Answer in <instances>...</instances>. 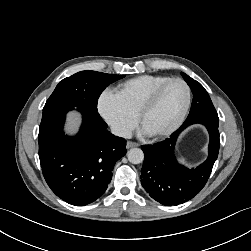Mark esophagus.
I'll return each instance as SVG.
<instances>
[{
    "instance_id": "1",
    "label": "esophagus",
    "mask_w": 251,
    "mask_h": 251,
    "mask_svg": "<svg viewBox=\"0 0 251 251\" xmlns=\"http://www.w3.org/2000/svg\"><path fill=\"white\" fill-rule=\"evenodd\" d=\"M138 144L135 143V142H132V141H128L127 144H126V147L129 149V148H132V147H137Z\"/></svg>"
}]
</instances>
